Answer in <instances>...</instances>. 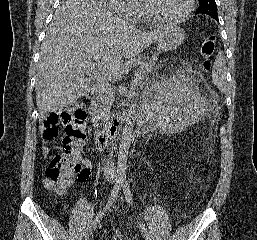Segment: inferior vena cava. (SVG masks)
Here are the masks:
<instances>
[{"label": "inferior vena cava", "instance_id": "602c4592", "mask_svg": "<svg viewBox=\"0 0 257 240\" xmlns=\"http://www.w3.org/2000/svg\"><path fill=\"white\" fill-rule=\"evenodd\" d=\"M108 171L112 172L113 171V164L112 162H107V166L105 167Z\"/></svg>", "mask_w": 257, "mask_h": 240}]
</instances>
